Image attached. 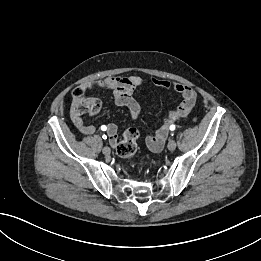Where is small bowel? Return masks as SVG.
Instances as JSON below:
<instances>
[{"instance_id": "1", "label": "small bowel", "mask_w": 261, "mask_h": 261, "mask_svg": "<svg viewBox=\"0 0 261 261\" xmlns=\"http://www.w3.org/2000/svg\"><path fill=\"white\" fill-rule=\"evenodd\" d=\"M152 81L154 85L164 89H173L182 96V102L177 109V114L180 117H186L194 108L197 96L191 87L179 82H170L160 78H153ZM143 83V79L135 75L128 77L112 76L99 82L85 83L81 87V97H74L72 108V122L74 126L83 135H91L95 132V127L86 123L81 114L74 109L75 105L80 100H91L86 96L93 90L111 91L115 101L119 105H122L128 109L132 119H137L142 111V105L134 98L133 94L138 87L143 85ZM168 130L169 125L164 123L152 136L147 138V145L152 151L157 152L163 148L168 135ZM105 131H107L110 144L115 146L118 142L117 126L110 123L106 126Z\"/></svg>"}]
</instances>
